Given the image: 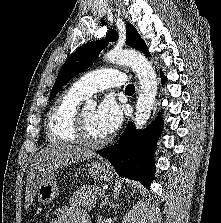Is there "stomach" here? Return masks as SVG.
Instances as JSON below:
<instances>
[{"mask_svg": "<svg viewBox=\"0 0 221 223\" xmlns=\"http://www.w3.org/2000/svg\"><path fill=\"white\" fill-rule=\"evenodd\" d=\"M88 172L96 180L110 181L113 178L112 171L105 164L94 161L88 164ZM38 200L46 205L55 199L58 193V186L54 174L46 176L39 184L38 189Z\"/></svg>", "mask_w": 221, "mask_h": 223, "instance_id": "1", "label": "stomach"}]
</instances>
